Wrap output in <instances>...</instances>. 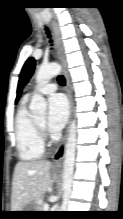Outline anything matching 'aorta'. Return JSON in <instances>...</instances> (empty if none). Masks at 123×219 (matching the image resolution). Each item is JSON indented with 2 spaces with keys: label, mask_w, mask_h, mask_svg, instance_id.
Instances as JSON below:
<instances>
[{
  "label": "aorta",
  "mask_w": 123,
  "mask_h": 219,
  "mask_svg": "<svg viewBox=\"0 0 123 219\" xmlns=\"http://www.w3.org/2000/svg\"><path fill=\"white\" fill-rule=\"evenodd\" d=\"M60 72L61 66L57 63L41 65L36 73V83L39 85L45 83L46 81L57 76ZM29 108L33 115L44 116L46 114L47 103L41 95L35 94L32 97ZM76 141V120H73L69 128L63 164V197L65 200H68L71 194L75 163Z\"/></svg>",
  "instance_id": "aorta-1"
}]
</instances>
